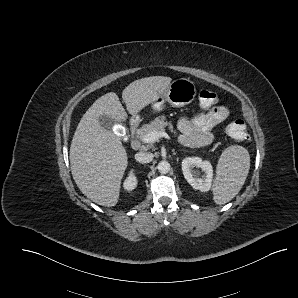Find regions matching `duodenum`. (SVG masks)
Returning <instances> with one entry per match:
<instances>
[{
	"label": "duodenum",
	"mask_w": 298,
	"mask_h": 298,
	"mask_svg": "<svg viewBox=\"0 0 298 298\" xmlns=\"http://www.w3.org/2000/svg\"><path fill=\"white\" fill-rule=\"evenodd\" d=\"M135 129H136V125L134 123H132L131 126H130V136H131V138H134ZM181 142L185 145H190L192 143L189 138H182ZM132 148L134 150H138L140 148V143L137 140H133L132 141Z\"/></svg>",
	"instance_id": "obj_1"
}]
</instances>
